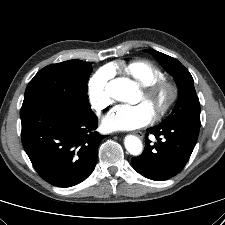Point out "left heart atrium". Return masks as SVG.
Returning a JSON list of instances; mask_svg holds the SVG:
<instances>
[{"instance_id":"39dd6f15","label":"left heart atrium","mask_w":225,"mask_h":225,"mask_svg":"<svg viewBox=\"0 0 225 225\" xmlns=\"http://www.w3.org/2000/svg\"><path fill=\"white\" fill-rule=\"evenodd\" d=\"M154 117V110L147 102L136 105H118L103 121L109 131L134 130L147 125Z\"/></svg>"}]
</instances>
